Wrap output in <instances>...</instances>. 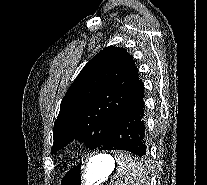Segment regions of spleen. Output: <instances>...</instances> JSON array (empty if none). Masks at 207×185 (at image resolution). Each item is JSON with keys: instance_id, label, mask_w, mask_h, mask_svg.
Returning a JSON list of instances; mask_svg holds the SVG:
<instances>
[{"instance_id": "spleen-1", "label": "spleen", "mask_w": 207, "mask_h": 185, "mask_svg": "<svg viewBox=\"0 0 207 185\" xmlns=\"http://www.w3.org/2000/svg\"><path fill=\"white\" fill-rule=\"evenodd\" d=\"M121 158H134L132 151H119ZM119 164L114 178L111 179V185H143L145 179H149L146 174V167L140 163V159H117Z\"/></svg>"}]
</instances>
